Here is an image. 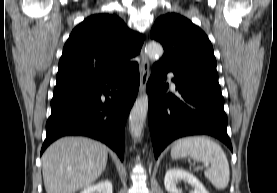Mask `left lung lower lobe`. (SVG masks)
<instances>
[{"mask_svg":"<svg viewBox=\"0 0 277 193\" xmlns=\"http://www.w3.org/2000/svg\"><path fill=\"white\" fill-rule=\"evenodd\" d=\"M169 70L154 65L147 85L148 122L155 158L173 140L198 134L214 136L231 150L224 98L216 77L174 75L179 97L165 94Z\"/></svg>","mask_w":277,"mask_h":193,"instance_id":"1","label":"left lung lower lobe"}]
</instances>
